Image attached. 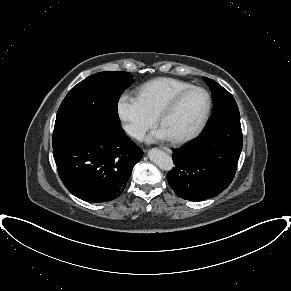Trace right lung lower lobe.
I'll list each match as a JSON object with an SVG mask.
<instances>
[{"label": "right lung lower lobe", "instance_id": "right-lung-lower-lobe-1", "mask_svg": "<svg viewBox=\"0 0 291 291\" xmlns=\"http://www.w3.org/2000/svg\"><path fill=\"white\" fill-rule=\"evenodd\" d=\"M143 151L123 129L88 130L53 147L59 177L75 196L106 202L120 196Z\"/></svg>", "mask_w": 291, "mask_h": 291}]
</instances>
